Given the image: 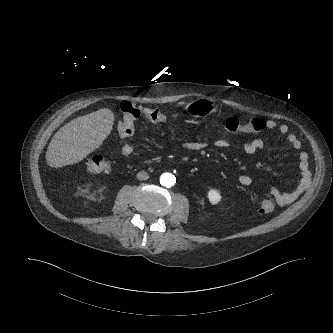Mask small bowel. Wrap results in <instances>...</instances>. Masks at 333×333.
<instances>
[{"label":"small bowel","mask_w":333,"mask_h":333,"mask_svg":"<svg viewBox=\"0 0 333 333\" xmlns=\"http://www.w3.org/2000/svg\"><path fill=\"white\" fill-rule=\"evenodd\" d=\"M266 128L269 130H277L289 145L296 151H298V163L301 171V180L297 186L290 191H281L277 188L270 190V195L275 199L279 206H285L296 200L304 190L306 180L308 179V155L306 152L301 151L302 143L298 137L292 133L286 124H279L275 120H268L266 122ZM210 144L205 141H189L180 145V148L185 151H198L208 147ZM212 145L219 149L229 148L232 146L238 147L244 154H255L264 148L265 142L261 137L235 143L228 139H218L212 143ZM117 150L119 154L124 157H134L138 153V146L134 142L123 141L119 143ZM237 181L242 186H250L253 183L251 176L247 174H241L238 176Z\"/></svg>","instance_id":"small-bowel-1"}]
</instances>
